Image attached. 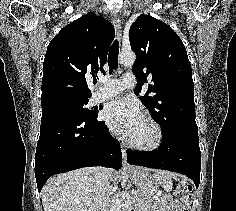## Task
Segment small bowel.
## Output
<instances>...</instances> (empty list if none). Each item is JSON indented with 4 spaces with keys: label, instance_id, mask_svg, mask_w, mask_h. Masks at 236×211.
<instances>
[{
    "label": "small bowel",
    "instance_id": "obj_1",
    "mask_svg": "<svg viewBox=\"0 0 236 211\" xmlns=\"http://www.w3.org/2000/svg\"><path fill=\"white\" fill-rule=\"evenodd\" d=\"M150 211H182V209L167 199H160L157 206Z\"/></svg>",
    "mask_w": 236,
    "mask_h": 211
}]
</instances>
